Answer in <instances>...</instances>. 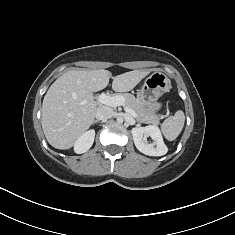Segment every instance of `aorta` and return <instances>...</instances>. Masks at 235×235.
Wrapping results in <instances>:
<instances>
[{"mask_svg": "<svg viewBox=\"0 0 235 235\" xmlns=\"http://www.w3.org/2000/svg\"><path fill=\"white\" fill-rule=\"evenodd\" d=\"M117 122H118V123H122V122H123V118H122V117H118V118H117Z\"/></svg>", "mask_w": 235, "mask_h": 235, "instance_id": "obj_1", "label": "aorta"}]
</instances>
